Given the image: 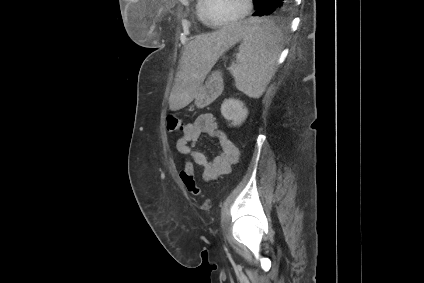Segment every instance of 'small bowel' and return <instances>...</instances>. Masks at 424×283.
Segmentation results:
<instances>
[{
    "label": "small bowel",
    "mask_w": 424,
    "mask_h": 283,
    "mask_svg": "<svg viewBox=\"0 0 424 283\" xmlns=\"http://www.w3.org/2000/svg\"><path fill=\"white\" fill-rule=\"evenodd\" d=\"M203 134L217 137L220 141L221 153L212 160L196 147L199 138ZM176 149L180 154L188 155L192 158V160L187 162H190L193 166L196 164L203 168L202 178L206 182L229 173L231 166L238 162L240 158L239 148L223 131L218 129V123L212 113H203L196 117L193 122L186 124L182 136L176 141Z\"/></svg>",
    "instance_id": "1"
}]
</instances>
